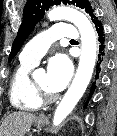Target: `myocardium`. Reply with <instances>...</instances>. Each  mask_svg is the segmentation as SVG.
<instances>
[{
	"instance_id": "1",
	"label": "myocardium",
	"mask_w": 117,
	"mask_h": 136,
	"mask_svg": "<svg viewBox=\"0 0 117 136\" xmlns=\"http://www.w3.org/2000/svg\"><path fill=\"white\" fill-rule=\"evenodd\" d=\"M33 88L36 94V97L41 103H50L55 101L58 98V95L53 93H47L45 90H43L35 81V79H32Z\"/></svg>"
}]
</instances>
